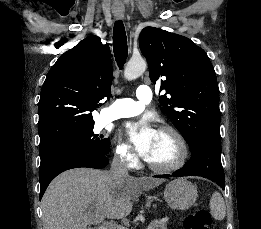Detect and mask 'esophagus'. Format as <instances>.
Returning a JSON list of instances; mask_svg holds the SVG:
<instances>
[{
  "instance_id": "1",
  "label": "esophagus",
  "mask_w": 261,
  "mask_h": 229,
  "mask_svg": "<svg viewBox=\"0 0 261 229\" xmlns=\"http://www.w3.org/2000/svg\"><path fill=\"white\" fill-rule=\"evenodd\" d=\"M116 18H117V19H123V18H124V15H116Z\"/></svg>"
}]
</instances>
